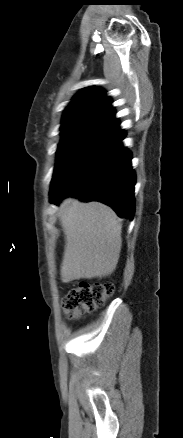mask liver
<instances>
[{
    "label": "liver",
    "instance_id": "1",
    "mask_svg": "<svg viewBox=\"0 0 183 438\" xmlns=\"http://www.w3.org/2000/svg\"><path fill=\"white\" fill-rule=\"evenodd\" d=\"M59 217L66 241L62 282L111 275L122 246V224L115 212L99 202L67 198L60 204Z\"/></svg>",
    "mask_w": 183,
    "mask_h": 438
}]
</instances>
